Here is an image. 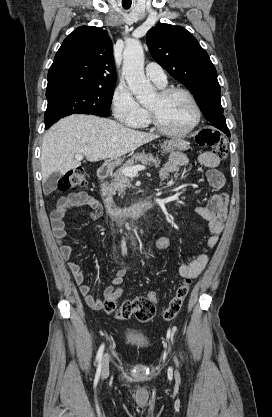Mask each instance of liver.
<instances>
[{
    "instance_id": "1",
    "label": "liver",
    "mask_w": 272,
    "mask_h": 417,
    "mask_svg": "<svg viewBox=\"0 0 272 417\" xmlns=\"http://www.w3.org/2000/svg\"><path fill=\"white\" fill-rule=\"evenodd\" d=\"M159 136L127 128L93 115H71L54 124L44 135L41 149L42 180L54 172L65 174L81 165L74 155L90 162L116 159Z\"/></svg>"
}]
</instances>
